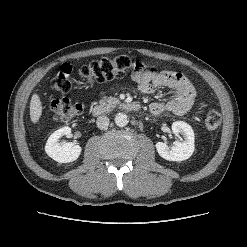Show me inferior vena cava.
<instances>
[{
	"instance_id": "obj_1",
	"label": "inferior vena cava",
	"mask_w": 247,
	"mask_h": 247,
	"mask_svg": "<svg viewBox=\"0 0 247 247\" xmlns=\"http://www.w3.org/2000/svg\"><path fill=\"white\" fill-rule=\"evenodd\" d=\"M96 124L99 129H105L109 125V118L105 115H101L97 118Z\"/></svg>"
}]
</instances>
